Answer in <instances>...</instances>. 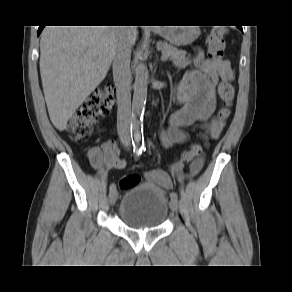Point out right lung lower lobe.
Segmentation results:
<instances>
[{
	"mask_svg": "<svg viewBox=\"0 0 292 292\" xmlns=\"http://www.w3.org/2000/svg\"><path fill=\"white\" fill-rule=\"evenodd\" d=\"M43 28H44V26H39L38 35L41 33V31H42Z\"/></svg>",
	"mask_w": 292,
	"mask_h": 292,
	"instance_id": "1",
	"label": "right lung lower lobe"
}]
</instances>
